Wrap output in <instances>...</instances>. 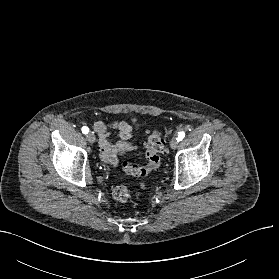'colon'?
Wrapping results in <instances>:
<instances>
[{
  "mask_svg": "<svg viewBox=\"0 0 279 279\" xmlns=\"http://www.w3.org/2000/svg\"><path fill=\"white\" fill-rule=\"evenodd\" d=\"M164 150V140L158 131H153L146 143V159L147 163L145 166H139L131 164L128 161L122 163V167L125 172L136 176L144 177L153 170H156L160 166V154ZM143 188L144 185L140 184ZM113 197L119 202H126L130 198V190L124 186L119 185L113 189Z\"/></svg>",
  "mask_w": 279,
  "mask_h": 279,
  "instance_id": "obj_1",
  "label": "colon"
}]
</instances>
